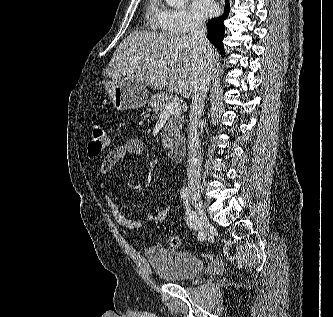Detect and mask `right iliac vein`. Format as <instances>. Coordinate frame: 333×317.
I'll list each match as a JSON object with an SVG mask.
<instances>
[{"label": "right iliac vein", "instance_id": "right-iliac-vein-1", "mask_svg": "<svg viewBox=\"0 0 333 317\" xmlns=\"http://www.w3.org/2000/svg\"><path fill=\"white\" fill-rule=\"evenodd\" d=\"M191 201L195 206V210L198 216L199 227L201 232L206 236L211 230V224L205 214V209L200 197V194L196 190L191 191L190 195Z\"/></svg>", "mask_w": 333, "mask_h": 317}]
</instances>
